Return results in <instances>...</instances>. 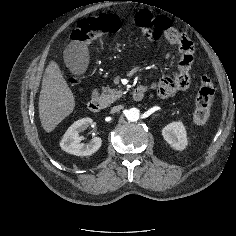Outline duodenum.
I'll return each instance as SVG.
<instances>
[{
    "label": "duodenum",
    "mask_w": 236,
    "mask_h": 236,
    "mask_svg": "<svg viewBox=\"0 0 236 236\" xmlns=\"http://www.w3.org/2000/svg\"><path fill=\"white\" fill-rule=\"evenodd\" d=\"M146 93V87L140 86L134 89L133 98L135 100H140L144 97ZM88 109L91 112L97 113L102 109V102L98 96H93L88 102Z\"/></svg>",
    "instance_id": "1"
}]
</instances>
